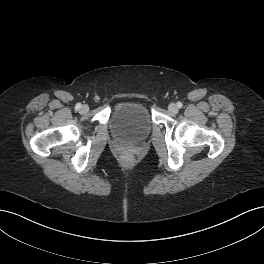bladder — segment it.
Returning <instances> with one entry per match:
<instances>
[{
  "mask_svg": "<svg viewBox=\"0 0 264 264\" xmlns=\"http://www.w3.org/2000/svg\"><path fill=\"white\" fill-rule=\"evenodd\" d=\"M148 109L137 102H121L112 110L110 128L113 136L126 144H136L148 138L152 130Z\"/></svg>",
  "mask_w": 264,
  "mask_h": 264,
  "instance_id": "bladder-1",
  "label": "bladder"
}]
</instances>
